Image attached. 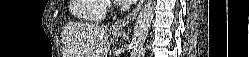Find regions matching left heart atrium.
I'll list each match as a JSON object with an SVG mask.
<instances>
[{
    "mask_svg": "<svg viewBox=\"0 0 249 57\" xmlns=\"http://www.w3.org/2000/svg\"><path fill=\"white\" fill-rule=\"evenodd\" d=\"M132 0H117L120 4L131 3Z\"/></svg>",
    "mask_w": 249,
    "mask_h": 57,
    "instance_id": "left-heart-atrium-1",
    "label": "left heart atrium"
}]
</instances>
